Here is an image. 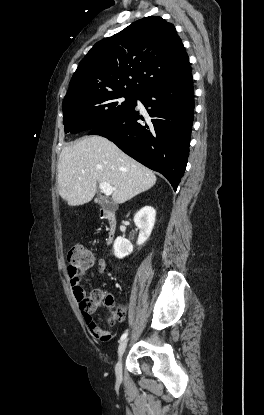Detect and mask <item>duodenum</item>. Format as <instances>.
<instances>
[{
	"mask_svg": "<svg viewBox=\"0 0 264 415\" xmlns=\"http://www.w3.org/2000/svg\"><path fill=\"white\" fill-rule=\"evenodd\" d=\"M99 215L107 223V226H108V240H107V243H109L111 238L115 235L116 230H117V226H118L117 216H116L115 212H113L109 209H106V208H100L99 209Z\"/></svg>",
	"mask_w": 264,
	"mask_h": 415,
	"instance_id": "410a0bca",
	"label": "duodenum"
}]
</instances>
